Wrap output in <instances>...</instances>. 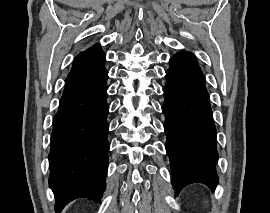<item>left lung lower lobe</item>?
I'll use <instances>...</instances> for the list:
<instances>
[{"label": "left lung lower lobe", "mask_w": 270, "mask_h": 213, "mask_svg": "<svg viewBox=\"0 0 270 213\" xmlns=\"http://www.w3.org/2000/svg\"><path fill=\"white\" fill-rule=\"evenodd\" d=\"M163 88L166 151L176 193L192 183L216 188V128L200 67L170 66Z\"/></svg>", "instance_id": "obj_1"}]
</instances>
